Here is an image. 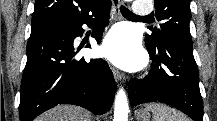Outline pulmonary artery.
Wrapping results in <instances>:
<instances>
[{
  "instance_id": "pulmonary-artery-1",
  "label": "pulmonary artery",
  "mask_w": 217,
  "mask_h": 121,
  "mask_svg": "<svg viewBox=\"0 0 217 121\" xmlns=\"http://www.w3.org/2000/svg\"><path fill=\"white\" fill-rule=\"evenodd\" d=\"M133 9L135 15L141 18L150 17L152 13L151 6L147 4L137 3L133 6Z\"/></svg>"
}]
</instances>
